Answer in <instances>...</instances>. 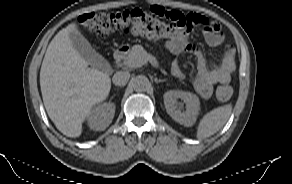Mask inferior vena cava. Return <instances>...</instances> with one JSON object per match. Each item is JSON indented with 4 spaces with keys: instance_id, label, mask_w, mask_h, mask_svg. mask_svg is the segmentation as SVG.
Returning <instances> with one entry per match:
<instances>
[{
    "instance_id": "inferior-vena-cava-1",
    "label": "inferior vena cava",
    "mask_w": 292,
    "mask_h": 184,
    "mask_svg": "<svg viewBox=\"0 0 292 184\" xmlns=\"http://www.w3.org/2000/svg\"><path fill=\"white\" fill-rule=\"evenodd\" d=\"M130 79L128 71H118L114 74L112 81L116 86H125Z\"/></svg>"
}]
</instances>
